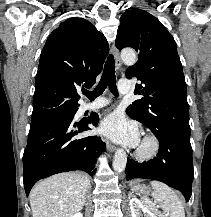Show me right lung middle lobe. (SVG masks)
<instances>
[{
    "label": "right lung middle lobe",
    "mask_w": 211,
    "mask_h": 217,
    "mask_svg": "<svg viewBox=\"0 0 211 217\" xmlns=\"http://www.w3.org/2000/svg\"><path fill=\"white\" fill-rule=\"evenodd\" d=\"M75 113H76V109L52 112V113H49V114L44 115L42 117H39L37 119H32L31 122H33V121H47V120H67V121H72L73 118H74Z\"/></svg>",
    "instance_id": "1"
}]
</instances>
